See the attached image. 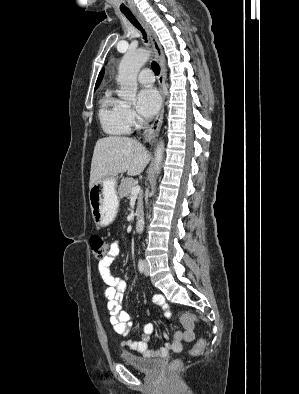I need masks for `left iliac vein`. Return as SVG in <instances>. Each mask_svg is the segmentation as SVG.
Here are the masks:
<instances>
[{
    "instance_id": "1",
    "label": "left iliac vein",
    "mask_w": 299,
    "mask_h": 394,
    "mask_svg": "<svg viewBox=\"0 0 299 394\" xmlns=\"http://www.w3.org/2000/svg\"><path fill=\"white\" fill-rule=\"evenodd\" d=\"M144 274H145L146 276L149 275V265H148L147 262H145Z\"/></svg>"
}]
</instances>
